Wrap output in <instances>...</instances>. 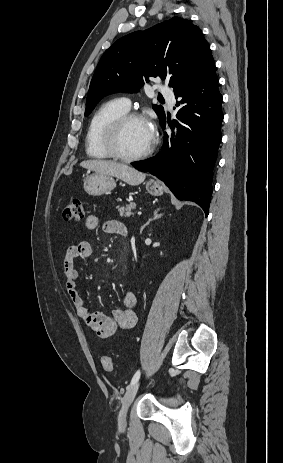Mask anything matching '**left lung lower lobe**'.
Returning a JSON list of instances; mask_svg holds the SVG:
<instances>
[{
  "label": "left lung lower lobe",
  "mask_w": 283,
  "mask_h": 463,
  "mask_svg": "<svg viewBox=\"0 0 283 463\" xmlns=\"http://www.w3.org/2000/svg\"><path fill=\"white\" fill-rule=\"evenodd\" d=\"M174 94L179 109L172 137L165 135L160 154L134 162L133 167L155 175L179 200L197 203L207 216L223 120L215 64ZM165 125L166 119L161 123L163 129Z\"/></svg>",
  "instance_id": "1"
}]
</instances>
